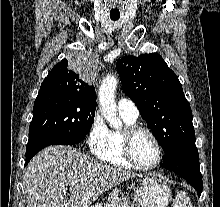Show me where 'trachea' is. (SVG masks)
I'll use <instances>...</instances> for the list:
<instances>
[{"mask_svg": "<svg viewBox=\"0 0 220 207\" xmlns=\"http://www.w3.org/2000/svg\"><path fill=\"white\" fill-rule=\"evenodd\" d=\"M112 20H117L118 18H111Z\"/></svg>", "mask_w": 220, "mask_h": 207, "instance_id": "3493384b", "label": "trachea"}]
</instances>
